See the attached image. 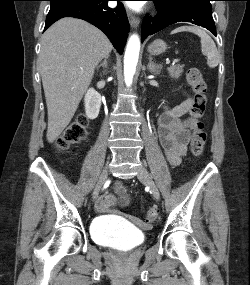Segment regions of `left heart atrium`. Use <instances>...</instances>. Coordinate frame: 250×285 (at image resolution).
Segmentation results:
<instances>
[{
	"label": "left heart atrium",
	"instance_id": "39dd6f15",
	"mask_svg": "<svg viewBox=\"0 0 250 285\" xmlns=\"http://www.w3.org/2000/svg\"><path fill=\"white\" fill-rule=\"evenodd\" d=\"M126 6L134 11H139L143 7V3L139 1H129Z\"/></svg>",
	"mask_w": 250,
	"mask_h": 285
}]
</instances>
